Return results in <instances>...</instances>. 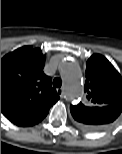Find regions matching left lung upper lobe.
I'll list each match as a JSON object with an SVG mask.
<instances>
[{"label":"left lung upper lobe","mask_w":122,"mask_h":154,"mask_svg":"<svg viewBox=\"0 0 122 154\" xmlns=\"http://www.w3.org/2000/svg\"><path fill=\"white\" fill-rule=\"evenodd\" d=\"M84 91L87 94L85 104L71 105L73 118L80 124V114L85 107H122V77L113 65L102 55H92L86 63V81Z\"/></svg>","instance_id":"left-lung-upper-lobe-1"}]
</instances>
